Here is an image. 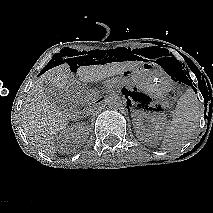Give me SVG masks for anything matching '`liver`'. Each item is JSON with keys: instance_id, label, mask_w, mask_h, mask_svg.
<instances>
[{"instance_id": "6515ba94", "label": "liver", "mask_w": 213, "mask_h": 213, "mask_svg": "<svg viewBox=\"0 0 213 213\" xmlns=\"http://www.w3.org/2000/svg\"><path fill=\"white\" fill-rule=\"evenodd\" d=\"M141 62L126 61L105 65L81 66L77 70L80 81L87 83L104 79L116 74H122ZM44 82H50L59 91L68 93L74 84L70 77L69 64L64 63L47 70L35 82L23 104L22 126L27 138L33 146L48 156H55L54 139L56 135L66 128L70 120L77 115L60 110L52 103L44 92Z\"/></svg>"}]
</instances>
